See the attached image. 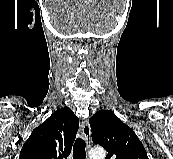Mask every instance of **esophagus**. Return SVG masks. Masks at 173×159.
I'll return each mask as SVG.
<instances>
[{"instance_id": "esophagus-1", "label": "esophagus", "mask_w": 173, "mask_h": 159, "mask_svg": "<svg viewBox=\"0 0 173 159\" xmlns=\"http://www.w3.org/2000/svg\"><path fill=\"white\" fill-rule=\"evenodd\" d=\"M81 136L86 142L87 148H89L90 141H91V130H90L89 122L85 118L81 122Z\"/></svg>"}]
</instances>
